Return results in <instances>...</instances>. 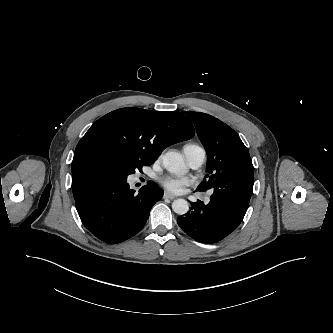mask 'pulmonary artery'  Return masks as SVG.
Returning <instances> with one entry per match:
<instances>
[{"label": "pulmonary artery", "instance_id": "pulmonary-artery-1", "mask_svg": "<svg viewBox=\"0 0 333 333\" xmlns=\"http://www.w3.org/2000/svg\"><path fill=\"white\" fill-rule=\"evenodd\" d=\"M187 161L192 168H199L206 159V153L203 148L197 147L185 152Z\"/></svg>", "mask_w": 333, "mask_h": 333}]
</instances>
